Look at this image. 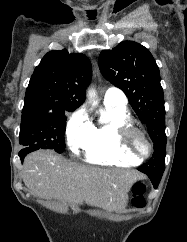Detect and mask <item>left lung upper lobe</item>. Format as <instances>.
Here are the masks:
<instances>
[{
    "label": "left lung upper lobe",
    "instance_id": "5c2ea615",
    "mask_svg": "<svg viewBox=\"0 0 187 242\" xmlns=\"http://www.w3.org/2000/svg\"><path fill=\"white\" fill-rule=\"evenodd\" d=\"M99 67L105 79L124 91L154 143L152 158L138 170L162 175L166 155L165 108L159 68L153 56L141 44L124 41L100 53Z\"/></svg>",
    "mask_w": 187,
    "mask_h": 242
}]
</instances>
